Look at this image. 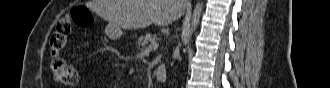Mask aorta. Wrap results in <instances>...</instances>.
Returning a JSON list of instances; mask_svg holds the SVG:
<instances>
[{"mask_svg": "<svg viewBox=\"0 0 330 88\" xmlns=\"http://www.w3.org/2000/svg\"><path fill=\"white\" fill-rule=\"evenodd\" d=\"M203 10V2H198L194 8L192 19H191V27L188 32V38L192 36V34L195 32L197 25L200 20V16Z\"/></svg>", "mask_w": 330, "mask_h": 88, "instance_id": "aorta-1", "label": "aorta"}]
</instances>
